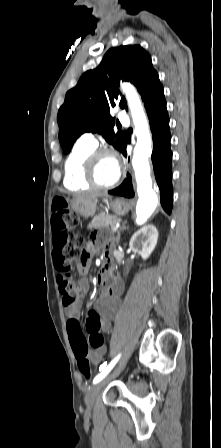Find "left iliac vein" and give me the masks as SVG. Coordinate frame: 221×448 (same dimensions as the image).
I'll return each instance as SVG.
<instances>
[{
  "instance_id": "1",
  "label": "left iliac vein",
  "mask_w": 221,
  "mask_h": 448,
  "mask_svg": "<svg viewBox=\"0 0 221 448\" xmlns=\"http://www.w3.org/2000/svg\"><path fill=\"white\" fill-rule=\"evenodd\" d=\"M126 363H122L119 367H117L107 378L101 380L100 382L92 385L86 392L85 403L88 409H91L94 406L97 395L100 392L101 388L111 379L115 378L120 371L125 367Z\"/></svg>"
}]
</instances>
